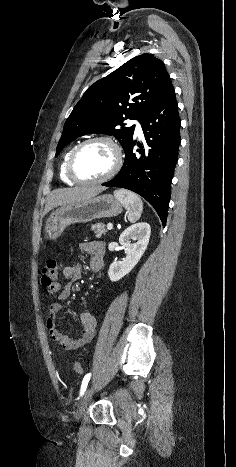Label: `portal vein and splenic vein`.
<instances>
[{"instance_id": "portal-vein-and-splenic-vein-1", "label": "portal vein and splenic vein", "mask_w": 236, "mask_h": 467, "mask_svg": "<svg viewBox=\"0 0 236 467\" xmlns=\"http://www.w3.org/2000/svg\"><path fill=\"white\" fill-rule=\"evenodd\" d=\"M112 228H113V224H112V223H108V224H107V229H108V230H111Z\"/></svg>"}]
</instances>
